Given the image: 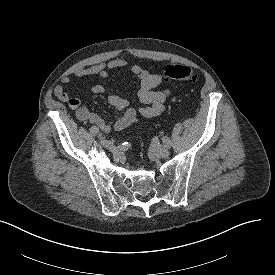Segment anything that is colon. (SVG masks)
<instances>
[{"label":"colon","instance_id":"colon-1","mask_svg":"<svg viewBox=\"0 0 275 275\" xmlns=\"http://www.w3.org/2000/svg\"><path fill=\"white\" fill-rule=\"evenodd\" d=\"M162 74L167 80H176L188 84H193L198 80L194 70L187 65H168L163 69Z\"/></svg>","mask_w":275,"mask_h":275}]
</instances>
